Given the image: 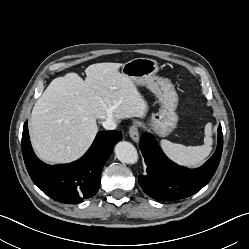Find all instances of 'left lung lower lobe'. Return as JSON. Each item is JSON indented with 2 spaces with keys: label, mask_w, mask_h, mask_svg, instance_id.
<instances>
[{
  "label": "left lung lower lobe",
  "mask_w": 249,
  "mask_h": 249,
  "mask_svg": "<svg viewBox=\"0 0 249 249\" xmlns=\"http://www.w3.org/2000/svg\"><path fill=\"white\" fill-rule=\"evenodd\" d=\"M223 134L218 127V145L213 156L201 167L188 169L169 160L153 135L141 138L140 149L147 165V175H139L143 191L153 199L171 201L191 196L202 189L214 175L222 154Z\"/></svg>",
  "instance_id": "1"
}]
</instances>
